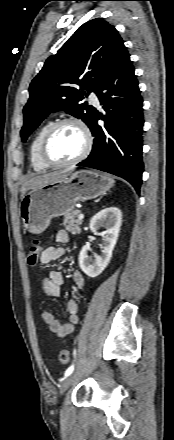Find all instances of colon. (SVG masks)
<instances>
[{"mask_svg": "<svg viewBox=\"0 0 174 440\" xmlns=\"http://www.w3.org/2000/svg\"><path fill=\"white\" fill-rule=\"evenodd\" d=\"M42 252V244L39 239H34L27 256L28 264L34 266L38 263ZM70 359V353L67 349H63L59 353V361L62 364H67Z\"/></svg>", "mask_w": 174, "mask_h": 440, "instance_id": "5ec220e1", "label": "colon"}]
</instances>
